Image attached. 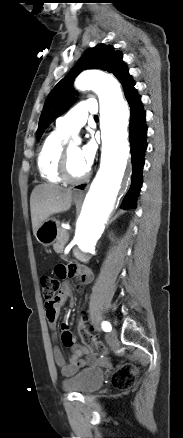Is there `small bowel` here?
Wrapping results in <instances>:
<instances>
[{
  "label": "small bowel",
  "mask_w": 183,
  "mask_h": 438,
  "mask_svg": "<svg viewBox=\"0 0 183 438\" xmlns=\"http://www.w3.org/2000/svg\"><path fill=\"white\" fill-rule=\"evenodd\" d=\"M55 274L61 279L79 277L82 283H89L92 279V273L86 267L74 264L57 265L55 267ZM71 296L72 290L69 285L65 284L60 293L53 300L45 302L46 318L51 329L56 328L60 308L69 298H71ZM62 330V343L64 346L72 349V354L69 357L68 363H66L60 349L56 346L53 349V356L62 375L71 376L80 368L94 363L95 358L89 353V350L86 347L76 343V338L69 331L67 325L64 324ZM83 356L85 357L83 358Z\"/></svg>",
  "instance_id": "c3829d8e"
}]
</instances>
